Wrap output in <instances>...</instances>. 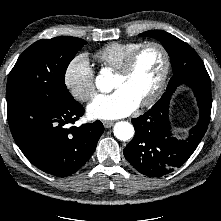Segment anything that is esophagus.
<instances>
[{"label":"esophagus","mask_w":221,"mask_h":221,"mask_svg":"<svg viewBox=\"0 0 221 221\" xmlns=\"http://www.w3.org/2000/svg\"><path fill=\"white\" fill-rule=\"evenodd\" d=\"M113 124H114L113 121H107V120L103 121V125L105 128H110L113 126Z\"/></svg>","instance_id":"34e87169"}]
</instances>
